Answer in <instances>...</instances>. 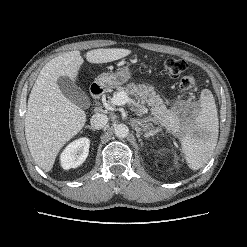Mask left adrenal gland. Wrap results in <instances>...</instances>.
<instances>
[{"mask_svg":"<svg viewBox=\"0 0 247 247\" xmlns=\"http://www.w3.org/2000/svg\"><path fill=\"white\" fill-rule=\"evenodd\" d=\"M151 120V119H150ZM161 131V129L158 127V128H156V129H153V128H151V130H149L148 132H145V134H144V136L145 137H150V136H154V135H156L158 132H160Z\"/></svg>","mask_w":247,"mask_h":247,"instance_id":"1","label":"left adrenal gland"}]
</instances>
